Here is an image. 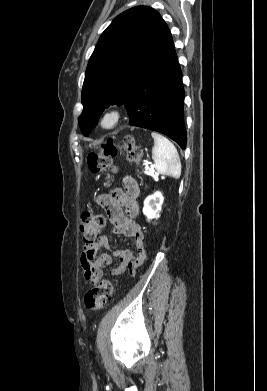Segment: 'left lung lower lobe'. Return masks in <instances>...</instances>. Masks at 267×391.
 Listing matches in <instances>:
<instances>
[{
    "label": "left lung lower lobe",
    "mask_w": 267,
    "mask_h": 391,
    "mask_svg": "<svg viewBox=\"0 0 267 391\" xmlns=\"http://www.w3.org/2000/svg\"><path fill=\"white\" fill-rule=\"evenodd\" d=\"M184 96L182 72L172 42L126 99L129 124L163 133L185 149Z\"/></svg>",
    "instance_id": "0a47b994"
}]
</instances>
